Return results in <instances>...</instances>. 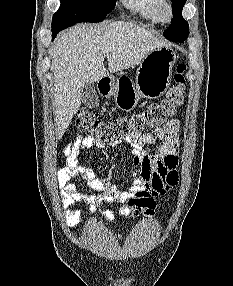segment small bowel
<instances>
[{
  "mask_svg": "<svg viewBox=\"0 0 233 286\" xmlns=\"http://www.w3.org/2000/svg\"><path fill=\"white\" fill-rule=\"evenodd\" d=\"M178 130L179 121L169 120L164 126L156 127L152 133L138 134L124 139L131 146L132 175L134 177L128 190H120L112 185L110 177L98 176L95 169L79 162V156L90 148L105 149L107 144L93 136L79 135L74 142L65 148V166L57 171L56 181L60 189L61 204L64 216L70 226H76L82 220V212L70 210L76 201H83L90 205L89 213L96 218L99 208L103 204H119L120 216L131 215L128 202L137 193H150L151 204L144 210L146 217L154 214V197L165 194L178 183ZM119 142L112 143L113 146ZM146 144H157L158 151L150 154L144 150ZM81 177L87 188L97 194L83 192L71 178ZM105 219L112 222L115 213L107 208L101 209Z\"/></svg>",
  "mask_w": 233,
  "mask_h": 286,
  "instance_id": "obj_1",
  "label": "small bowel"
}]
</instances>
